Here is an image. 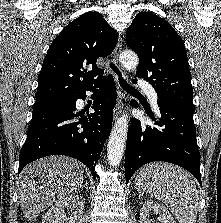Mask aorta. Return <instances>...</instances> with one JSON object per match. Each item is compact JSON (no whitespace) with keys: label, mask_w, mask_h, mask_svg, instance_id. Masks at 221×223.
<instances>
[{"label":"aorta","mask_w":221,"mask_h":223,"mask_svg":"<svg viewBox=\"0 0 221 223\" xmlns=\"http://www.w3.org/2000/svg\"><path fill=\"white\" fill-rule=\"evenodd\" d=\"M120 61L126 70H135L138 66V56L133 51H124L120 55ZM129 121L126 115L121 116L114 124L109 136L107 145L108 163L112 167H117L122 160Z\"/></svg>","instance_id":"obj_1"}]
</instances>
